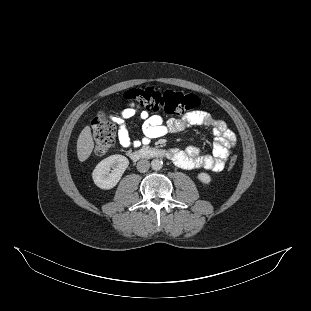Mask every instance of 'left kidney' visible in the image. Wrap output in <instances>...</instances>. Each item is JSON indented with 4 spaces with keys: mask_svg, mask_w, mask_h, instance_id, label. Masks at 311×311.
<instances>
[{
    "mask_svg": "<svg viewBox=\"0 0 311 311\" xmlns=\"http://www.w3.org/2000/svg\"><path fill=\"white\" fill-rule=\"evenodd\" d=\"M198 179L204 184H209L211 182V177L207 173H199Z\"/></svg>",
    "mask_w": 311,
    "mask_h": 311,
    "instance_id": "left-kidney-1",
    "label": "left kidney"
}]
</instances>
